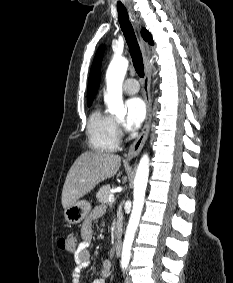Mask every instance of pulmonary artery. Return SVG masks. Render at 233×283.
Masks as SVG:
<instances>
[{
	"instance_id": "pulmonary-artery-1",
	"label": "pulmonary artery",
	"mask_w": 233,
	"mask_h": 283,
	"mask_svg": "<svg viewBox=\"0 0 233 283\" xmlns=\"http://www.w3.org/2000/svg\"><path fill=\"white\" fill-rule=\"evenodd\" d=\"M123 90L127 94H135L139 91V83L134 78L127 79L123 84Z\"/></svg>"
}]
</instances>
